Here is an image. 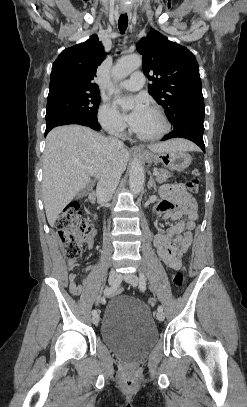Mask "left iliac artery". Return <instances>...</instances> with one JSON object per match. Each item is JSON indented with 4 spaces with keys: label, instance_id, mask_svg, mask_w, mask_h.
<instances>
[{
    "label": "left iliac artery",
    "instance_id": "1",
    "mask_svg": "<svg viewBox=\"0 0 247 407\" xmlns=\"http://www.w3.org/2000/svg\"><path fill=\"white\" fill-rule=\"evenodd\" d=\"M139 288L142 292L146 289V277L143 272L139 273ZM158 311H163V307L160 305L157 308Z\"/></svg>",
    "mask_w": 247,
    "mask_h": 407
}]
</instances>
